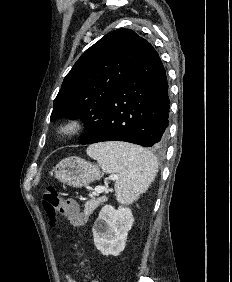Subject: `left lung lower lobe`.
<instances>
[{
    "label": "left lung lower lobe",
    "instance_id": "left-lung-lower-lobe-1",
    "mask_svg": "<svg viewBox=\"0 0 232 282\" xmlns=\"http://www.w3.org/2000/svg\"><path fill=\"white\" fill-rule=\"evenodd\" d=\"M170 101L166 71L147 43L131 74L116 90L101 120L91 127L81 144L125 141L161 148L167 141Z\"/></svg>",
    "mask_w": 232,
    "mask_h": 282
}]
</instances>
